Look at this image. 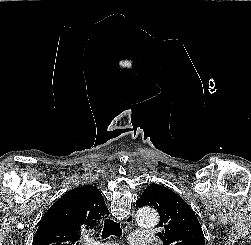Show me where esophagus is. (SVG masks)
<instances>
[{"instance_id":"esophagus-1","label":"esophagus","mask_w":251,"mask_h":245,"mask_svg":"<svg viewBox=\"0 0 251 245\" xmlns=\"http://www.w3.org/2000/svg\"><path fill=\"white\" fill-rule=\"evenodd\" d=\"M134 211L130 212V214L126 217V219L124 220V224L125 225H131L134 223Z\"/></svg>"}]
</instances>
